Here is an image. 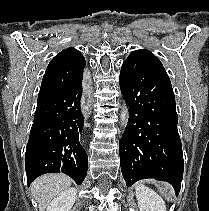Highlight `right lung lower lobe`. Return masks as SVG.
I'll list each match as a JSON object with an SVG mask.
<instances>
[{
	"instance_id": "98d812e1",
	"label": "right lung lower lobe",
	"mask_w": 209,
	"mask_h": 211,
	"mask_svg": "<svg viewBox=\"0 0 209 211\" xmlns=\"http://www.w3.org/2000/svg\"><path fill=\"white\" fill-rule=\"evenodd\" d=\"M82 78L37 103L25 154L28 186L46 173H64L78 185L88 170L83 130Z\"/></svg>"
}]
</instances>
